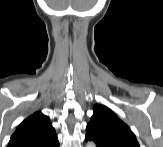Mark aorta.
I'll return each instance as SVG.
<instances>
[{"label":"aorta","mask_w":163,"mask_h":147,"mask_svg":"<svg viewBox=\"0 0 163 147\" xmlns=\"http://www.w3.org/2000/svg\"><path fill=\"white\" fill-rule=\"evenodd\" d=\"M87 147H95V144L93 142H88Z\"/></svg>","instance_id":"1"}]
</instances>
